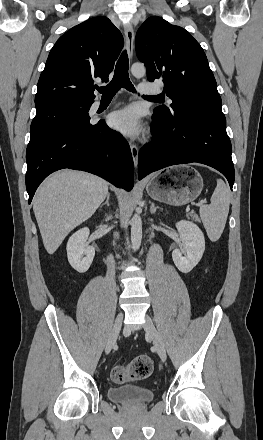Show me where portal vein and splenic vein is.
Listing matches in <instances>:
<instances>
[{
	"label": "portal vein and splenic vein",
	"mask_w": 263,
	"mask_h": 440,
	"mask_svg": "<svg viewBox=\"0 0 263 440\" xmlns=\"http://www.w3.org/2000/svg\"><path fill=\"white\" fill-rule=\"evenodd\" d=\"M205 203H207L206 200H201V201L199 202L200 205L205 204Z\"/></svg>",
	"instance_id": "1"
}]
</instances>
